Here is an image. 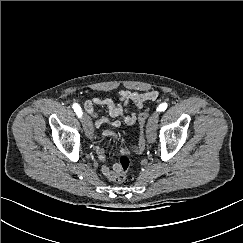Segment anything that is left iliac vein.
<instances>
[{"mask_svg": "<svg viewBox=\"0 0 243 243\" xmlns=\"http://www.w3.org/2000/svg\"><path fill=\"white\" fill-rule=\"evenodd\" d=\"M159 113L155 111L149 118L146 128V137L149 143H153L156 140V123L158 121Z\"/></svg>", "mask_w": 243, "mask_h": 243, "instance_id": "4c4485c4", "label": "left iliac vein"}]
</instances>
